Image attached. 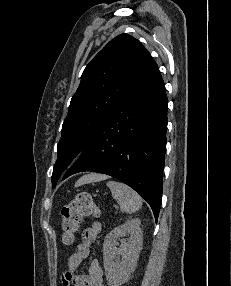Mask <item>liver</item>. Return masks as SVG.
<instances>
[{
    "instance_id": "1",
    "label": "liver",
    "mask_w": 231,
    "mask_h": 286,
    "mask_svg": "<svg viewBox=\"0 0 231 286\" xmlns=\"http://www.w3.org/2000/svg\"><path fill=\"white\" fill-rule=\"evenodd\" d=\"M105 178H106V176L101 175V174H88V175L81 177L76 182L75 187H79L83 184H87V183H91V182H95V181H100V180H103Z\"/></svg>"
}]
</instances>
